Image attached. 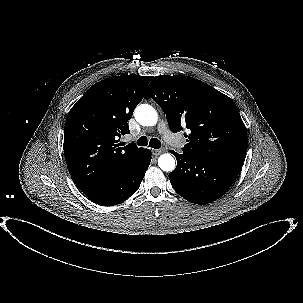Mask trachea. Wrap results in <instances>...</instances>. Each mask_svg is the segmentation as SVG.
<instances>
[{
	"label": "trachea",
	"mask_w": 303,
	"mask_h": 303,
	"mask_svg": "<svg viewBox=\"0 0 303 303\" xmlns=\"http://www.w3.org/2000/svg\"><path fill=\"white\" fill-rule=\"evenodd\" d=\"M137 144L139 146H147L148 139L146 136H142L137 140ZM149 146L154 149H159L161 147V142L157 138H152L149 142Z\"/></svg>",
	"instance_id": "trachea-1"
}]
</instances>
